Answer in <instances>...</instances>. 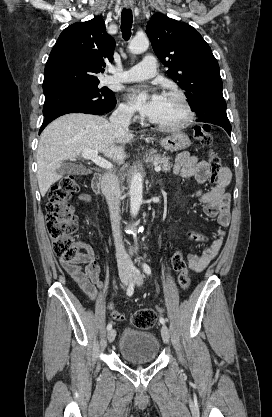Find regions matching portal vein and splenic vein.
<instances>
[{
	"instance_id": "obj_1",
	"label": "portal vein and splenic vein",
	"mask_w": 272,
	"mask_h": 417,
	"mask_svg": "<svg viewBox=\"0 0 272 417\" xmlns=\"http://www.w3.org/2000/svg\"><path fill=\"white\" fill-rule=\"evenodd\" d=\"M81 157L84 159H90L93 163H95L96 165H98L99 167H102L104 169H112L113 165L111 162H109L108 160L102 158L101 156L98 155V151L95 150H84L81 153ZM154 170L156 172H160L161 167L160 166H156L154 168Z\"/></svg>"
}]
</instances>
